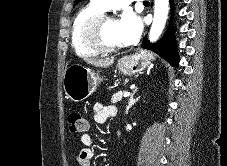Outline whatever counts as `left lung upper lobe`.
Returning <instances> with one entry per match:
<instances>
[{"label": "left lung upper lobe", "mask_w": 227, "mask_h": 166, "mask_svg": "<svg viewBox=\"0 0 227 166\" xmlns=\"http://www.w3.org/2000/svg\"><path fill=\"white\" fill-rule=\"evenodd\" d=\"M81 0H75L74 5H77Z\"/></svg>", "instance_id": "5c2ea615"}]
</instances>
